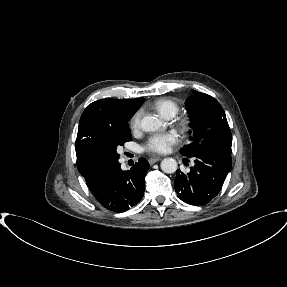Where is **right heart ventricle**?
<instances>
[{
  "label": "right heart ventricle",
  "mask_w": 287,
  "mask_h": 287,
  "mask_svg": "<svg viewBox=\"0 0 287 287\" xmlns=\"http://www.w3.org/2000/svg\"><path fill=\"white\" fill-rule=\"evenodd\" d=\"M153 107L166 118L175 116L179 111L178 103L169 98H160L155 100Z\"/></svg>",
  "instance_id": "e07e8e85"
}]
</instances>
